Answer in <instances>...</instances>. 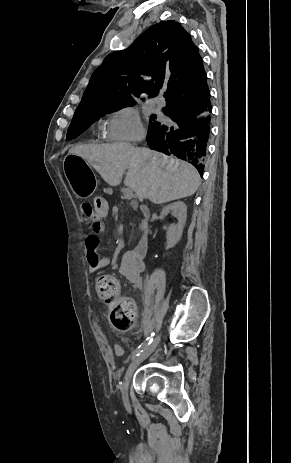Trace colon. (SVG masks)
I'll use <instances>...</instances> for the list:
<instances>
[{"label": "colon", "mask_w": 291, "mask_h": 463, "mask_svg": "<svg viewBox=\"0 0 291 463\" xmlns=\"http://www.w3.org/2000/svg\"><path fill=\"white\" fill-rule=\"evenodd\" d=\"M106 209V202L101 197L82 204L80 210L84 223H91L94 216L105 217ZM96 292L108 304L112 324L121 331L130 329L136 319V306L131 299L120 294L118 279L110 274L99 276L96 280Z\"/></svg>", "instance_id": "colon-1"}]
</instances>
